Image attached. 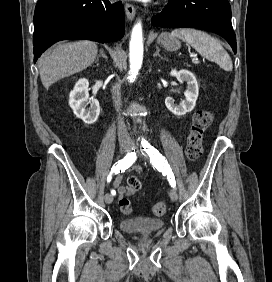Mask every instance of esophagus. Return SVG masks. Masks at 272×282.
Listing matches in <instances>:
<instances>
[{"label": "esophagus", "mask_w": 272, "mask_h": 282, "mask_svg": "<svg viewBox=\"0 0 272 282\" xmlns=\"http://www.w3.org/2000/svg\"><path fill=\"white\" fill-rule=\"evenodd\" d=\"M125 12L128 20H133L136 14L135 7L130 3H125Z\"/></svg>", "instance_id": "esophagus-1"}]
</instances>
